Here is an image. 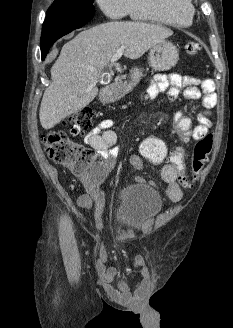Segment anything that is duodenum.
Segmentation results:
<instances>
[{"label":"duodenum","instance_id":"410a0bca","mask_svg":"<svg viewBox=\"0 0 233 328\" xmlns=\"http://www.w3.org/2000/svg\"><path fill=\"white\" fill-rule=\"evenodd\" d=\"M116 93H117L116 84L106 87L102 89V91L100 92V100L104 103L110 102L112 99H114Z\"/></svg>","mask_w":233,"mask_h":328}]
</instances>
